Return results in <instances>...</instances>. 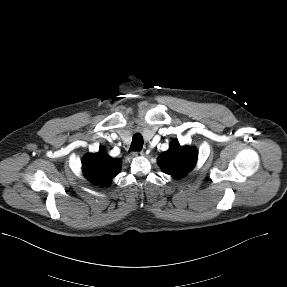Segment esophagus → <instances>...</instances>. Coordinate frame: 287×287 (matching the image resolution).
I'll list each match as a JSON object with an SVG mask.
<instances>
[{"instance_id":"34e87169","label":"esophagus","mask_w":287,"mask_h":287,"mask_svg":"<svg viewBox=\"0 0 287 287\" xmlns=\"http://www.w3.org/2000/svg\"><path fill=\"white\" fill-rule=\"evenodd\" d=\"M132 156H134V157L143 156V151H134V152H132Z\"/></svg>"}]
</instances>
